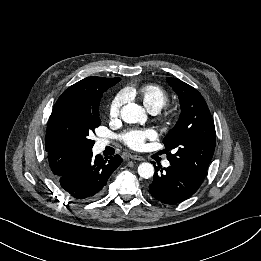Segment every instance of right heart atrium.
Segmentation results:
<instances>
[{"mask_svg": "<svg viewBox=\"0 0 261 261\" xmlns=\"http://www.w3.org/2000/svg\"><path fill=\"white\" fill-rule=\"evenodd\" d=\"M127 99L125 90L118 92L110 101L108 107V115L110 119L115 120L119 118L121 109Z\"/></svg>", "mask_w": 261, "mask_h": 261, "instance_id": "d8ad5b80", "label": "right heart atrium"}]
</instances>
